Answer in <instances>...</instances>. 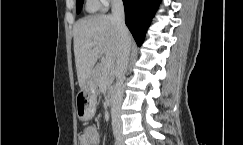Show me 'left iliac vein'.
<instances>
[{
  "label": "left iliac vein",
  "mask_w": 243,
  "mask_h": 145,
  "mask_svg": "<svg viewBox=\"0 0 243 145\" xmlns=\"http://www.w3.org/2000/svg\"><path fill=\"white\" fill-rule=\"evenodd\" d=\"M121 145H124V142H123V140L121 141Z\"/></svg>",
  "instance_id": "1"
}]
</instances>
